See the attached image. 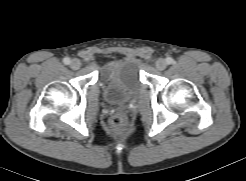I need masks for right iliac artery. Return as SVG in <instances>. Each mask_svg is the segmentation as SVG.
Listing matches in <instances>:
<instances>
[{"label":"right iliac artery","mask_w":246,"mask_h":181,"mask_svg":"<svg viewBox=\"0 0 246 181\" xmlns=\"http://www.w3.org/2000/svg\"><path fill=\"white\" fill-rule=\"evenodd\" d=\"M70 58L66 57L63 59V63L66 64V65H69L70 64Z\"/></svg>","instance_id":"1"}]
</instances>
